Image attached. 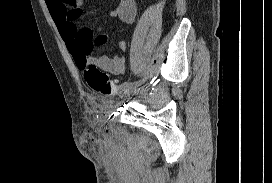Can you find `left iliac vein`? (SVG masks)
I'll return each mask as SVG.
<instances>
[{"mask_svg":"<svg viewBox=\"0 0 272 183\" xmlns=\"http://www.w3.org/2000/svg\"><path fill=\"white\" fill-rule=\"evenodd\" d=\"M144 89H138L136 87L130 88L129 90L124 92V96H133L135 94H138L139 92H142Z\"/></svg>","mask_w":272,"mask_h":183,"instance_id":"obj_1","label":"left iliac vein"}]
</instances>
